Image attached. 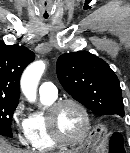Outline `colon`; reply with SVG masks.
Segmentation results:
<instances>
[{
    "mask_svg": "<svg viewBox=\"0 0 130 153\" xmlns=\"http://www.w3.org/2000/svg\"><path fill=\"white\" fill-rule=\"evenodd\" d=\"M110 153H123L124 152V145L123 139L119 134H112L110 139Z\"/></svg>",
    "mask_w": 130,
    "mask_h": 153,
    "instance_id": "obj_1",
    "label": "colon"
}]
</instances>
